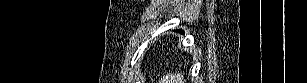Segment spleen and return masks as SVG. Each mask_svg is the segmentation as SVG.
<instances>
[{
  "label": "spleen",
  "instance_id": "spleen-1",
  "mask_svg": "<svg viewBox=\"0 0 307 83\" xmlns=\"http://www.w3.org/2000/svg\"><path fill=\"white\" fill-rule=\"evenodd\" d=\"M159 83H185V79L181 72L167 73L159 80Z\"/></svg>",
  "mask_w": 307,
  "mask_h": 83
}]
</instances>
